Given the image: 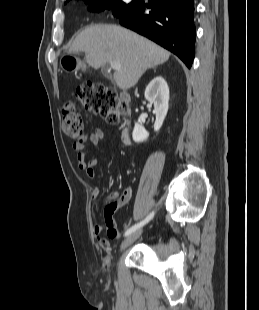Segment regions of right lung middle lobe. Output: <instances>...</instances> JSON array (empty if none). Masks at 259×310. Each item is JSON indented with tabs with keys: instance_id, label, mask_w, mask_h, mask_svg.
Here are the masks:
<instances>
[{
	"instance_id": "dd1d6c3e",
	"label": "right lung middle lobe",
	"mask_w": 259,
	"mask_h": 310,
	"mask_svg": "<svg viewBox=\"0 0 259 310\" xmlns=\"http://www.w3.org/2000/svg\"><path fill=\"white\" fill-rule=\"evenodd\" d=\"M91 1L93 0H85V2ZM135 2L136 1H132L131 3L126 4L121 0H95V2L91 4L90 9L92 11H100L105 8H113V14L119 18L123 13L127 12L135 4Z\"/></svg>"
}]
</instances>
